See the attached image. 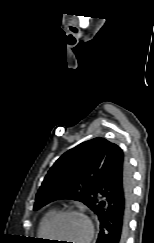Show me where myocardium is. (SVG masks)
Returning a JSON list of instances; mask_svg holds the SVG:
<instances>
[{
  "label": "myocardium",
  "mask_w": 154,
  "mask_h": 243,
  "mask_svg": "<svg viewBox=\"0 0 154 243\" xmlns=\"http://www.w3.org/2000/svg\"><path fill=\"white\" fill-rule=\"evenodd\" d=\"M65 216H79L81 218H83L86 221L87 224V233L86 236L83 240L82 243H90V241L92 240L93 236H94V225L93 222L91 220V218L83 211L81 210H76V209H65V210H61L58 211L49 221L48 225H47V236L48 238H52V231L54 228V225L57 223V221L59 219H61L62 217Z\"/></svg>",
  "instance_id": "obj_1"
}]
</instances>
